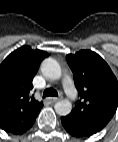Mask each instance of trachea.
Instances as JSON below:
<instances>
[{"label":"trachea","mask_w":118,"mask_h":142,"mask_svg":"<svg viewBox=\"0 0 118 142\" xmlns=\"http://www.w3.org/2000/svg\"><path fill=\"white\" fill-rule=\"evenodd\" d=\"M57 95H58L57 91L52 88H47L43 92V97L57 96Z\"/></svg>","instance_id":"obj_1"}]
</instances>
